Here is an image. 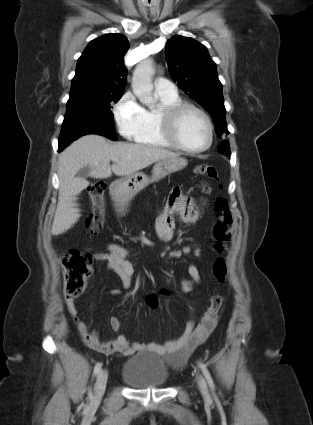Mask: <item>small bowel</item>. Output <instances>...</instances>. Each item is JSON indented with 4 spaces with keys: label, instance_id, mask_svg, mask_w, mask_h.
<instances>
[{
    "label": "small bowel",
    "instance_id": "small-bowel-1",
    "mask_svg": "<svg viewBox=\"0 0 313 425\" xmlns=\"http://www.w3.org/2000/svg\"><path fill=\"white\" fill-rule=\"evenodd\" d=\"M177 217L184 223H194L199 219V212L196 209L194 200L184 195L180 187L173 188L168 197L165 211L156 222L155 229L159 239L167 241L172 238ZM191 251L190 246H184L181 249L172 250L169 255L172 258H180ZM93 257L96 261L105 262L108 269L119 276L123 288H129L132 285L134 268L127 258V249L118 244H109L108 252H96ZM188 273L191 280H185L181 284L184 292L191 291L193 283H199L201 279L199 270L193 263L189 264ZM119 293L120 289L111 290L113 295H118ZM66 302L83 340L91 348L105 355L121 353L125 356H130L138 351L149 350L170 358H187L197 346L207 339L216 324V318L210 315L208 307L199 322H195L193 318L190 319L179 338L163 344L131 342L123 335H119L113 340L105 341L99 336L90 321L84 322L79 319L74 299L67 298ZM109 322L113 331L117 332L121 329L119 318L113 316Z\"/></svg>",
    "mask_w": 313,
    "mask_h": 425
}]
</instances>
